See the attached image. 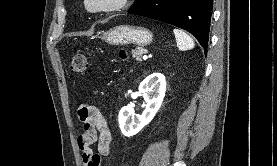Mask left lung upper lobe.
Wrapping results in <instances>:
<instances>
[{
    "label": "left lung upper lobe",
    "instance_id": "obj_1",
    "mask_svg": "<svg viewBox=\"0 0 277 166\" xmlns=\"http://www.w3.org/2000/svg\"><path fill=\"white\" fill-rule=\"evenodd\" d=\"M146 0H135L134 4L131 6L130 10L141 5L143 2H145Z\"/></svg>",
    "mask_w": 277,
    "mask_h": 166
}]
</instances>
